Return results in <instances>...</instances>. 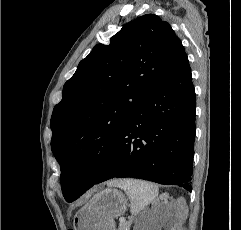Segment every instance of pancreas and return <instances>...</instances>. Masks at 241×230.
Returning a JSON list of instances; mask_svg holds the SVG:
<instances>
[{"mask_svg":"<svg viewBox=\"0 0 241 230\" xmlns=\"http://www.w3.org/2000/svg\"><path fill=\"white\" fill-rule=\"evenodd\" d=\"M129 227H130V223L125 222L119 225L118 230H129Z\"/></svg>","mask_w":241,"mask_h":230,"instance_id":"1","label":"pancreas"}]
</instances>
